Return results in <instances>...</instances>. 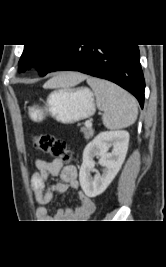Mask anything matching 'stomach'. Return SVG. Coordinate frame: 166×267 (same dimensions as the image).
<instances>
[{"mask_svg": "<svg viewBox=\"0 0 166 267\" xmlns=\"http://www.w3.org/2000/svg\"><path fill=\"white\" fill-rule=\"evenodd\" d=\"M95 111L94 94L90 89L60 87L49 94L45 107L33 106L29 115L34 121H42L50 115L61 123L71 124L91 117Z\"/></svg>", "mask_w": 166, "mask_h": 267, "instance_id": "0dacf381", "label": "stomach"}]
</instances>
